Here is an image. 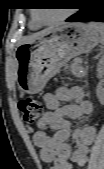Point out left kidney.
I'll use <instances>...</instances> for the list:
<instances>
[{
    "label": "left kidney",
    "mask_w": 104,
    "mask_h": 169,
    "mask_svg": "<svg viewBox=\"0 0 104 169\" xmlns=\"http://www.w3.org/2000/svg\"><path fill=\"white\" fill-rule=\"evenodd\" d=\"M103 75V61H100L98 65V76L101 78ZM96 94L100 102L104 101V88L101 84H99L96 88Z\"/></svg>",
    "instance_id": "obj_1"
}]
</instances>
